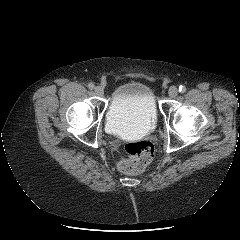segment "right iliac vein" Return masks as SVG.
<instances>
[{"mask_svg": "<svg viewBox=\"0 0 240 240\" xmlns=\"http://www.w3.org/2000/svg\"><path fill=\"white\" fill-rule=\"evenodd\" d=\"M94 92L98 96H103V94H104V90H103V88L101 86H96L94 88Z\"/></svg>", "mask_w": 240, "mask_h": 240, "instance_id": "1", "label": "right iliac vein"}]
</instances>
